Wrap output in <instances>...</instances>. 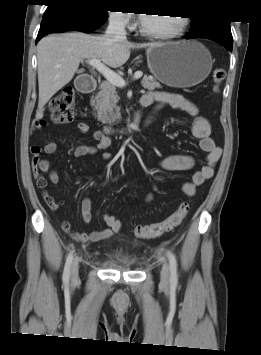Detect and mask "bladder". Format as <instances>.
<instances>
[{"mask_svg": "<svg viewBox=\"0 0 261 355\" xmlns=\"http://www.w3.org/2000/svg\"><path fill=\"white\" fill-rule=\"evenodd\" d=\"M116 257L119 260L120 263L126 264L127 262V256L126 253L124 251H118L116 253Z\"/></svg>", "mask_w": 261, "mask_h": 355, "instance_id": "obj_1", "label": "bladder"}]
</instances>
